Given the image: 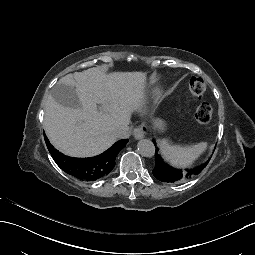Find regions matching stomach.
I'll list each match as a JSON object with an SVG mask.
<instances>
[{"label":"stomach","instance_id":"stomach-1","mask_svg":"<svg viewBox=\"0 0 255 255\" xmlns=\"http://www.w3.org/2000/svg\"><path fill=\"white\" fill-rule=\"evenodd\" d=\"M161 125H162L161 121H156L155 122V126H160L161 127Z\"/></svg>","mask_w":255,"mask_h":255}]
</instances>
